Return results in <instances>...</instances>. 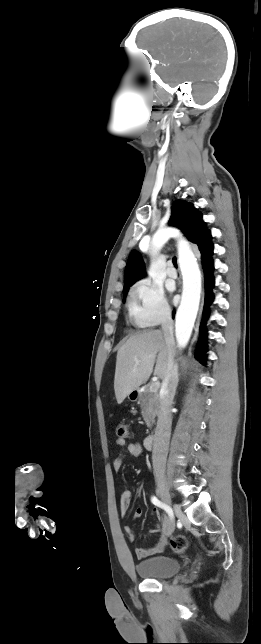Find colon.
I'll list each match as a JSON object with an SVG mask.
<instances>
[{
    "mask_svg": "<svg viewBox=\"0 0 261 644\" xmlns=\"http://www.w3.org/2000/svg\"><path fill=\"white\" fill-rule=\"evenodd\" d=\"M116 434L119 439H126L129 436L128 425L126 423H119L117 425ZM171 548L176 553H183L187 546L188 540L183 535H175L170 540Z\"/></svg>",
    "mask_w": 261,
    "mask_h": 644,
    "instance_id": "colon-1",
    "label": "colon"
}]
</instances>
